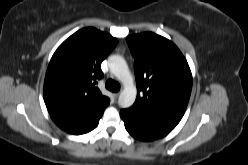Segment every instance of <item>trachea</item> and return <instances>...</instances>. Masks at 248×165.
I'll list each match as a JSON object with an SVG mask.
<instances>
[{"mask_svg": "<svg viewBox=\"0 0 248 165\" xmlns=\"http://www.w3.org/2000/svg\"><path fill=\"white\" fill-rule=\"evenodd\" d=\"M105 87L112 92H118L120 90L119 83L112 79L106 81Z\"/></svg>", "mask_w": 248, "mask_h": 165, "instance_id": "3493384b", "label": "trachea"}]
</instances>
